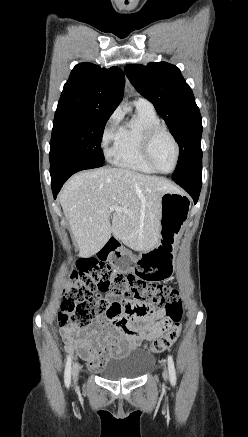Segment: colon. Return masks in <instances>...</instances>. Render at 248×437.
<instances>
[{
    "label": "colon",
    "instance_id": "5ec220e1",
    "mask_svg": "<svg viewBox=\"0 0 248 437\" xmlns=\"http://www.w3.org/2000/svg\"><path fill=\"white\" fill-rule=\"evenodd\" d=\"M105 257L87 258L78 262L64 290L61 310L58 315L60 327L84 328L105 313L109 303L103 298H95L94 293L129 294L130 299L152 302L164 307L165 318L162 326L165 332L148 346L152 352H161L177 340L183 306L179 292L168 285L147 286L143 279L134 274L114 272V267Z\"/></svg>",
    "mask_w": 248,
    "mask_h": 437
}]
</instances>
